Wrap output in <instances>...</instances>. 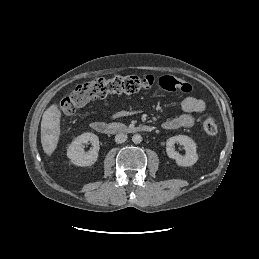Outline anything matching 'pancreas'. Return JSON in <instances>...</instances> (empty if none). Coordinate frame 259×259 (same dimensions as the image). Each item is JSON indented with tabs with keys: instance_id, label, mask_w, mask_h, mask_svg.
<instances>
[{
	"instance_id": "obj_1",
	"label": "pancreas",
	"mask_w": 259,
	"mask_h": 259,
	"mask_svg": "<svg viewBox=\"0 0 259 259\" xmlns=\"http://www.w3.org/2000/svg\"><path fill=\"white\" fill-rule=\"evenodd\" d=\"M111 126L114 128L124 127V125L121 123H112Z\"/></svg>"
}]
</instances>
